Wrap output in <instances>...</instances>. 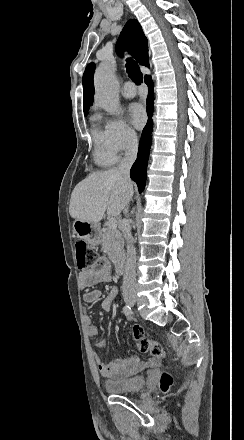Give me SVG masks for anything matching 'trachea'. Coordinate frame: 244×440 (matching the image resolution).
Wrapping results in <instances>:
<instances>
[{
    "mask_svg": "<svg viewBox=\"0 0 244 440\" xmlns=\"http://www.w3.org/2000/svg\"><path fill=\"white\" fill-rule=\"evenodd\" d=\"M126 69L129 77L136 85H140L143 81L142 73L139 69L137 63L132 59H127L126 61Z\"/></svg>",
    "mask_w": 244,
    "mask_h": 440,
    "instance_id": "1",
    "label": "trachea"
}]
</instances>
